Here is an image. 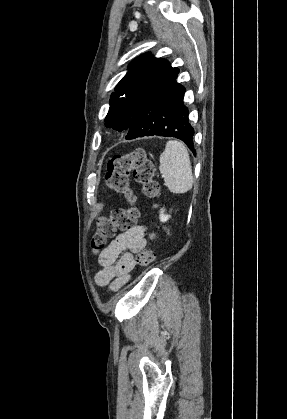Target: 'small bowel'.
Listing matches in <instances>:
<instances>
[{
  "mask_svg": "<svg viewBox=\"0 0 287 419\" xmlns=\"http://www.w3.org/2000/svg\"><path fill=\"white\" fill-rule=\"evenodd\" d=\"M145 233V226H134L117 235L100 252L98 262L101 269L95 276L98 285L117 291L129 282L135 267L134 254L146 246Z\"/></svg>",
  "mask_w": 287,
  "mask_h": 419,
  "instance_id": "small-bowel-1",
  "label": "small bowel"
}]
</instances>
